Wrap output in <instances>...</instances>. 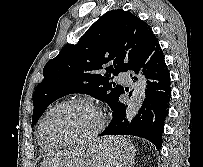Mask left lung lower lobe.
<instances>
[{"mask_svg":"<svg viewBox=\"0 0 203 167\" xmlns=\"http://www.w3.org/2000/svg\"><path fill=\"white\" fill-rule=\"evenodd\" d=\"M140 68L147 80L146 98L132 122H127L125 113L127 105L118 101L112 108L113 118L108 127L100 135H133L152 142L159 150L162 147V133L165 119L168 116L171 99V79L165 64L163 51L157 41L151 44L130 68L132 80H137L135 74ZM128 91V88L124 89ZM132 92L129 93L131 96Z\"/></svg>","mask_w":203,"mask_h":167,"instance_id":"obj_1","label":"left lung lower lobe"}]
</instances>
